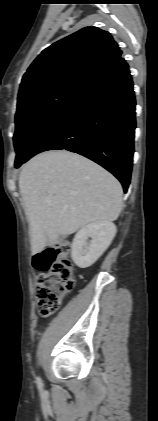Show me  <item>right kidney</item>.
Masks as SVG:
<instances>
[{
	"label": "right kidney",
	"instance_id": "right-kidney-1",
	"mask_svg": "<svg viewBox=\"0 0 158 421\" xmlns=\"http://www.w3.org/2000/svg\"><path fill=\"white\" fill-rule=\"evenodd\" d=\"M116 231L112 222H93L82 227L71 245L73 262L80 268L94 264L111 244ZM89 237L91 241L88 243Z\"/></svg>",
	"mask_w": 158,
	"mask_h": 421
}]
</instances>
